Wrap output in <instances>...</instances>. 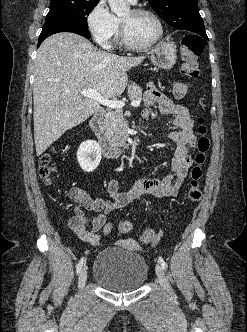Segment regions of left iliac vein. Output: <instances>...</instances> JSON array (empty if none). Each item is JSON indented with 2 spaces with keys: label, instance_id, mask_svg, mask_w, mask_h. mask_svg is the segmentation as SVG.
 Here are the masks:
<instances>
[{
  "label": "left iliac vein",
  "instance_id": "1",
  "mask_svg": "<svg viewBox=\"0 0 247 332\" xmlns=\"http://www.w3.org/2000/svg\"><path fill=\"white\" fill-rule=\"evenodd\" d=\"M155 271H156V274H157V277H158V281L161 284V286H163L164 289H166L168 292H170L171 291V287H170L168 281L166 280V277L164 275L163 269L160 266V264L156 265Z\"/></svg>",
  "mask_w": 247,
  "mask_h": 332
}]
</instances>
